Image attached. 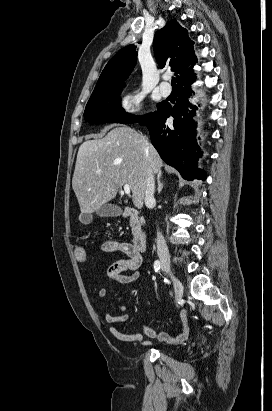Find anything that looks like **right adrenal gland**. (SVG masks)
Masks as SVG:
<instances>
[{
    "label": "right adrenal gland",
    "mask_w": 272,
    "mask_h": 411,
    "mask_svg": "<svg viewBox=\"0 0 272 411\" xmlns=\"http://www.w3.org/2000/svg\"><path fill=\"white\" fill-rule=\"evenodd\" d=\"M161 178H162V173H158L157 174V184H158L157 191H158V193H160L162 191V188L164 186V184L161 182Z\"/></svg>",
    "instance_id": "right-adrenal-gland-1"
}]
</instances>
